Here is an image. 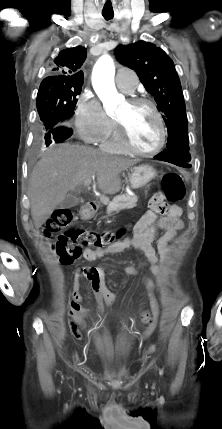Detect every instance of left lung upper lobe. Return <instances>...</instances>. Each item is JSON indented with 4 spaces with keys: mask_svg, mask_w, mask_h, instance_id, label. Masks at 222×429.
Wrapping results in <instances>:
<instances>
[{
    "mask_svg": "<svg viewBox=\"0 0 222 429\" xmlns=\"http://www.w3.org/2000/svg\"><path fill=\"white\" fill-rule=\"evenodd\" d=\"M115 55L121 64L135 70L145 89L154 96L168 129L167 149H190L185 102L173 61L161 48L145 41L120 45Z\"/></svg>",
    "mask_w": 222,
    "mask_h": 429,
    "instance_id": "left-lung-upper-lobe-1",
    "label": "left lung upper lobe"
}]
</instances>
